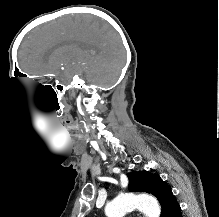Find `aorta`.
Masks as SVG:
<instances>
[{
	"label": "aorta",
	"mask_w": 219,
	"mask_h": 217,
	"mask_svg": "<svg viewBox=\"0 0 219 217\" xmlns=\"http://www.w3.org/2000/svg\"><path fill=\"white\" fill-rule=\"evenodd\" d=\"M132 209L142 211L146 217H159L160 206L156 199L150 196H122L117 197L105 207V214L107 217H123Z\"/></svg>",
	"instance_id": "obj_1"
}]
</instances>
